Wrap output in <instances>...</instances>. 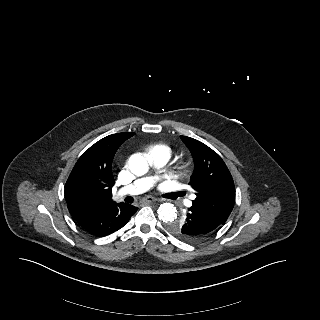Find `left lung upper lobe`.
I'll list each match as a JSON object with an SVG mask.
<instances>
[{
  "mask_svg": "<svg viewBox=\"0 0 320 320\" xmlns=\"http://www.w3.org/2000/svg\"><path fill=\"white\" fill-rule=\"evenodd\" d=\"M181 139L195 162V170L189 182L196 192L192 206L220 223H225L235 203V186L226 164L202 142L186 136H181ZM169 230L180 240H196L183 231L182 221L171 223Z\"/></svg>",
  "mask_w": 320,
  "mask_h": 320,
  "instance_id": "5c2ea615",
  "label": "left lung upper lobe"
}]
</instances>
